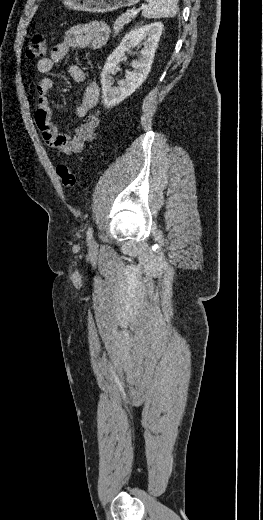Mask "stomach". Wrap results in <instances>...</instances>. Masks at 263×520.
<instances>
[{"label":"stomach","mask_w":263,"mask_h":520,"mask_svg":"<svg viewBox=\"0 0 263 520\" xmlns=\"http://www.w3.org/2000/svg\"><path fill=\"white\" fill-rule=\"evenodd\" d=\"M62 2L66 8L71 10L107 13L136 5L140 0H62Z\"/></svg>","instance_id":"stomach-1"}]
</instances>
